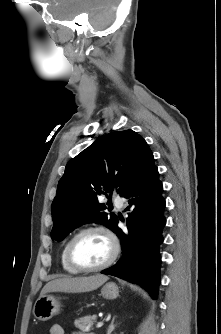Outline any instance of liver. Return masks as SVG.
Segmentation results:
<instances>
[{"label": "liver", "mask_w": 221, "mask_h": 334, "mask_svg": "<svg viewBox=\"0 0 221 334\" xmlns=\"http://www.w3.org/2000/svg\"><path fill=\"white\" fill-rule=\"evenodd\" d=\"M108 280L105 275L97 274L89 277H68L48 282L42 289L40 297L49 292H88L100 287Z\"/></svg>", "instance_id": "obj_1"}]
</instances>
